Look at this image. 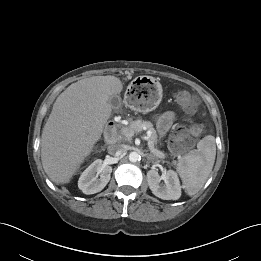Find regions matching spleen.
<instances>
[{
	"mask_svg": "<svg viewBox=\"0 0 261 261\" xmlns=\"http://www.w3.org/2000/svg\"><path fill=\"white\" fill-rule=\"evenodd\" d=\"M215 156V138L206 136L198 142L196 150L178 161L176 170L188 195H195L203 187L213 169Z\"/></svg>",
	"mask_w": 261,
	"mask_h": 261,
	"instance_id": "obj_1",
	"label": "spleen"
}]
</instances>
